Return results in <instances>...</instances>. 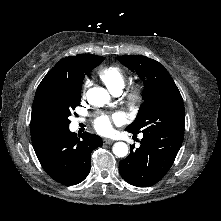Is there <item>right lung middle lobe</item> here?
Returning a JSON list of instances; mask_svg holds the SVG:
<instances>
[{
  "label": "right lung middle lobe",
  "mask_w": 221,
  "mask_h": 221,
  "mask_svg": "<svg viewBox=\"0 0 221 221\" xmlns=\"http://www.w3.org/2000/svg\"><path fill=\"white\" fill-rule=\"evenodd\" d=\"M104 57L95 56L86 61L81 68L87 74L101 64ZM81 89H71L66 93H51L44 104L45 117L56 132L65 131L69 128L71 111L80 103Z\"/></svg>",
  "instance_id": "1"
}]
</instances>
